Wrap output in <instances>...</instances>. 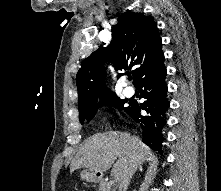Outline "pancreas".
<instances>
[{
    "label": "pancreas",
    "instance_id": "1",
    "mask_svg": "<svg viewBox=\"0 0 221 191\" xmlns=\"http://www.w3.org/2000/svg\"><path fill=\"white\" fill-rule=\"evenodd\" d=\"M99 191H116L115 188H112L108 182L101 181L99 184Z\"/></svg>",
    "mask_w": 221,
    "mask_h": 191
}]
</instances>
